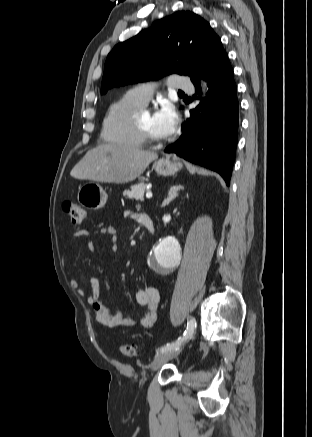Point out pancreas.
I'll use <instances>...</instances> for the list:
<instances>
[{
    "mask_svg": "<svg viewBox=\"0 0 312 437\" xmlns=\"http://www.w3.org/2000/svg\"><path fill=\"white\" fill-rule=\"evenodd\" d=\"M147 191V184L139 183L135 184L131 187V190H127L124 192V196L131 200H144V193Z\"/></svg>",
    "mask_w": 312,
    "mask_h": 437,
    "instance_id": "obj_1",
    "label": "pancreas"
}]
</instances>
